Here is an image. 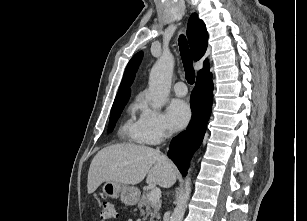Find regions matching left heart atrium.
I'll return each mask as SVG.
<instances>
[{"mask_svg":"<svg viewBox=\"0 0 307 221\" xmlns=\"http://www.w3.org/2000/svg\"><path fill=\"white\" fill-rule=\"evenodd\" d=\"M167 115L171 126L175 130H181L188 125L191 119V110L185 101L175 99L170 102Z\"/></svg>","mask_w":307,"mask_h":221,"instance_id":"obj_1","label":"left heart atrium"}]
</instances>
